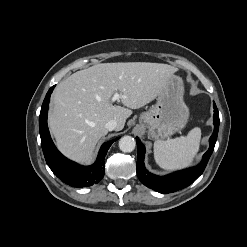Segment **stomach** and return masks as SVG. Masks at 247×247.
I'll return each mask as SVG.
<instances>
[{"mask_svg":"<svg viewBox=\"0 0 247 247\" xmlns=\"http://www.w3.org/2000/svg\"><path fill=\"white\" fill-rule=\"evenodd\" d=\"M182 79L173 75L157 96L150 109L140 115L139 123L155 140L169 138L182 130L189 119V109L183 101Z\"/></svg>","mask_w":247,"mask_h":247,"instance_id":"1","label":"stomach"}]
</instances>
